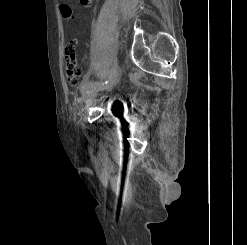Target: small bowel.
Listing matches in <instances>:
<instances>
[{
  "mask_svg": "<svg viewBox=\"0 0 247 245\" xmlns=\"http://www.w3.org/2000/svg\"><path fill=\"white\" fill-rule=\"evenodd\" d=\"M80 3L83 5V6H90L92 4V0H80ZM60 11H61V14L64 18H71L72 17V9H71V6L69 4H62L60 6Z\"/></svg>",
  "mask_w": 247,
  "mask_h": 245,
  "instance_id": "c3829d8e",
  "label": "small bowel"
}]
</instances>
